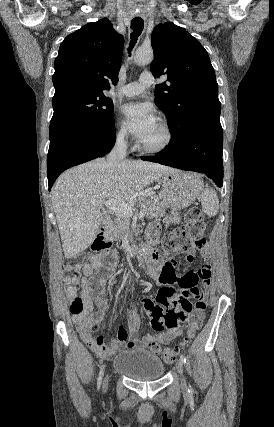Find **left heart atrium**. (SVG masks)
<instances>
[{"label": "left heart atrium", "mask_w": 274, "mask_h": 427, "mask_svg": "<svg viewBox=\"0 0 274 427\" xmlns=\"http://www.w3.org/2000/svg\"><path fill=\"white\" fill-rule=\"evenodd\" d=\"M125 128L139 140L144 138L156 122L152 108L144 103H129L120 108Z\"/></svg>", "instance_id": "1"}]
</instances>
